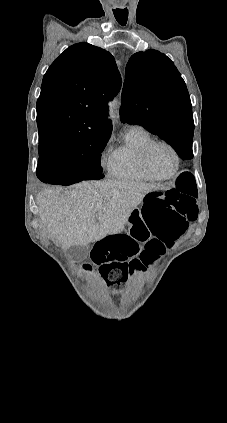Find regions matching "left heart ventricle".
Instances as JSON below:
<instances>
[{"label":"left heart ventricle","instance_id":"obj_1","mask_svg":"<svg viewBox=\"0 0 227 423\" xmlns=\"http://www.w3.org/2000/svg\"><path fill=\"white\" fill-rule=\"evenodd\" d=\"M149 161L152 169L160 176H168L174 171V156L164 146L155 147L150 154Z\"/></svg>","mask_w":227,"mask_h":423}]
</instances>
